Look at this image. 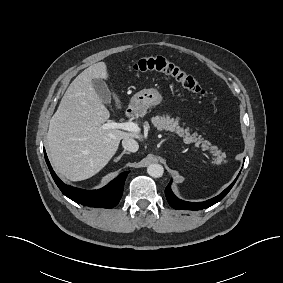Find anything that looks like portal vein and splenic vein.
<instances>
[{
	"label": "portal vein and splenic vein",
	"instance_id": "1",
	"mask_svg": "<svg viewBox=\"0 0 283 283\" xmlns=\"http://www.w3.org/2000/svg\"><path fill=\"white\" fill-rule=\"evenodd\" d=\"M104 128L106 129H122L126 131H130L133 133H139L140 128L137 124L127 121L123 123H117V122H107L104 124ZM217 155V153L215 154Z\"/></svg>",
	"mask_w": 283,
	"mask_h": 283
}]
</instances>
